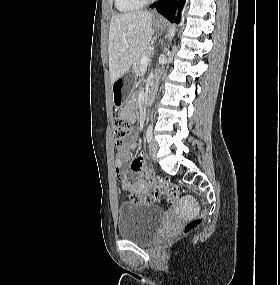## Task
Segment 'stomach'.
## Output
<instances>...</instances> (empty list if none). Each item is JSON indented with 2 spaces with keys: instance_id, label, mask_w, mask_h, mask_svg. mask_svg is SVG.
<instances>
[{
  "instance_id": "stomach-1",
  "label": "stomach",
  "mask_w": 280,
  "mask_h": 285,
  "mask_svg": "<svg viewBox=\"0 0 280 285\" xmlns=\"http://www.w3.org/2000/svg\"><path fill=\"white\" fill-rule=\"evenodd\" d=\"M166 27L165 21H156L155 28L163 30ZM133 83V79L129 73L123 74L112 85V99L115 106L125 103L127 98V88Z\"/></svg>"
}]
</instances>
